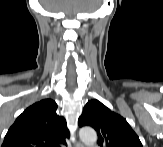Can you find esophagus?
I'll list each match as a JSON object with an SVG mask.
<instances>
[{
	"mask_svg": "<svg viewBox=\"0 0 163 147\" xmlns=\"http://www.w3.org/2000/svg\"><path fill=\"white\" fill-rule=\"evenodd\" d=\"M76 146H77V147H82V144H81L80 142H77V143H76Z\"/></svg>",
	"mask_w": 163,
	"mask_h": 147,
	"instance_id": "34e87169",
	"label": "esophagus"
}]
</instances>
